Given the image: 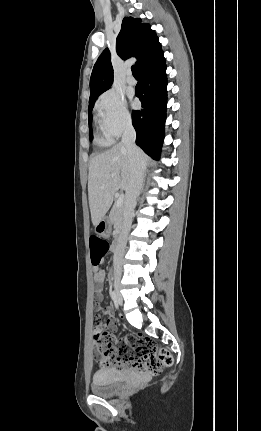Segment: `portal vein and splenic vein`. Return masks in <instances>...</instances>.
Returning <instances> with one entry per match:
<instances>
[{
    "label": "portal vein and splenic vein",
    "mask_w": 261,
    "mask_h": 431,
    "mask_svg": "<svg viewBox=\"0 0 261 431\" xmlns=\"http://www.w3.org/2000/svg\"><path fill=\"white\" fill-rule=\"evenodd\" d=\"M123 200H124V195H123V194H121V195L118 197V199L116 200L115 205H116L117 207L122 206V204H123Z\"/></svg>",
    "instance_id": "portal-vein-and-splenic-vein-1"
}]
</instances>
